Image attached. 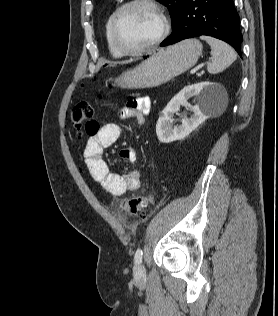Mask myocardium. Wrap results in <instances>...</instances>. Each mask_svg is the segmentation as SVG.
<instances>
[{
  "instance_id": "1",
  "label": "myocardium",
  "mask_w": 278,
  "mask_h": 316,
  "mask_svg": "<svg viewBox=\"0 0 278 316\" xmlns=\"http://www.w3.org/2000/svg\"><path fill=\"white\" fill-rule=\"evenodd\" d=\"M147 5L150 8H152L155 13L158 15L160 22H161V29L158 34V36L149 44L138 48V49H130L123 45V43L120 41L119 35H118V23L123 15V13L128 10L129 8L135 6V5ZM171 28L170 20L164 10V8L155 0H131L123 3L120 5L117 10L114 12L113 17L111 19V36L114 45L116 48L122 52L125 55H131V56H137L144 54L155 47H157L169 34Z\"/></svg>"
}]
</instances>
